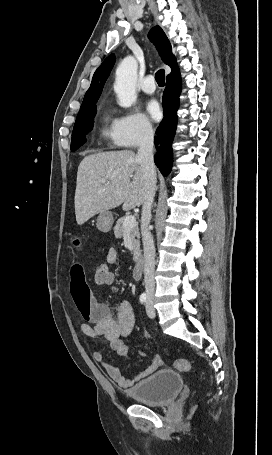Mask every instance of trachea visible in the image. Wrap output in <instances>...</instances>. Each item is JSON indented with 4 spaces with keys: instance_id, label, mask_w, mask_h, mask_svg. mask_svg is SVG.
<instances>
[{
    "instance_id": "obj_1",
    "label": "trachea",
    "mask_w": 272,
    "mask_h": 455,
    "mask_svg": "<svg viewBox=\"0 0 272 455\" xmlns=\"http://www.w3.org/2000/svg\"><path fill=\"white\" fill-rule=\"evenodd\" d=\"M155 80L159 86L165 85V72L163 69H160L155 73Z\"/></svg>"
}]
</instances>
